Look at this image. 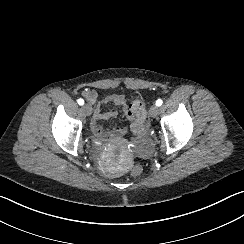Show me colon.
Instances as JSON below:
<instances>
[{"label": "colon", "mask_w": 244, "mask_h": 244, "mask_svg": "<svg viewBox=\"0 0 244 244\" xmlns=\"http://www.w3.org/2000/svg\"><path fill=\"white\" fill-rule=\"evenodd\" d=\"M130 109L132 114L136 118L135 123L133 125V132L137 135L145 133L147 123V112L143 100H134L130 106ZM140 173L141 169L137 165L132 166L128 171L129 176L132 178L139 176Z\"/></svg>", "instance_id": "5ec220e1"}]
</instances>
